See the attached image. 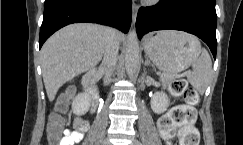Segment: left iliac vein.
<instances>
[{
  "label": "left iliac vein",
  "instance_id": "obj_1",
  "mask_svg": "<svg viewBox=\"0 0 243 145\" xmlns=\"http://www.w3.org/2000/svg\"><path fill=\"white\" fill-rule=\"evenodd\" d=\"M131 145H138L137 141L131 143Z\"/></svg>",
  "mask_w": 243,
  "mask_h": 145
}]
</instances>
